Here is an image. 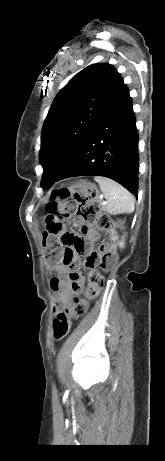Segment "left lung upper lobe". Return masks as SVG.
Returning a JSON list of instances; mask_svg holds the SVG:
<instances>
[{
    "mask_svg": "<svg viewBox=\"0 0 165 461\" xmlns=\"http://www.w3.org/2000/svg\"><path fill=\"white\" fill-rule=\"evenodd\" d=\"M124 85L110 64H92L58 93L45 120L39 154L41 186L50 187Z\"/></svg>",
    "mask_w": 165,
    "mask_h": 461,
    "instance_id": "obj_1",
    "label": "left lung upper lobe"
}]
</instances>
